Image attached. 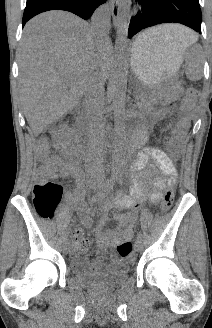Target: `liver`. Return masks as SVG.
<instances>
[{"label":"liver","mask_w":212,"mask_h":328,"mask_svg":"<svg viewBox=\"0 0 212 328\" xmlns=\"http://www.w3.org/2000/svg\"><path fill=\"white\" fill-rule=\"evenodd\" d=\"M146 34L183 49L198 39L190 29L175 24L154 27ZM110 54V42L97 38L91 25L72 13L48 11L25 25L19 49L20 98L35 136L79 104L93 73L105 79Z\"/></svg>","instance_id":"6515ba94"}]
</instances>
